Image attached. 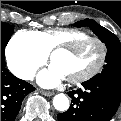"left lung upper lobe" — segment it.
<instances>
[{"label":"left lung upper lobe","mask_w":121,"mask_h":121,"mask_svg":"<svg viewBox=\"0 0 121 121\" xmlns=\"http://www.w3.org/2000/svg\"><path fill=\"white\" fill-rule=\"evenodd\" d=\"M75 27L88 26L99 39L105 43L108 53L106 55V65L101 74L95 77H110L121 81V43L119 39L106 28L100 26L91 19L76 22Z\"/></svg>","instance_id":"left-lung-upper-lobe-1"}]
</instances>
